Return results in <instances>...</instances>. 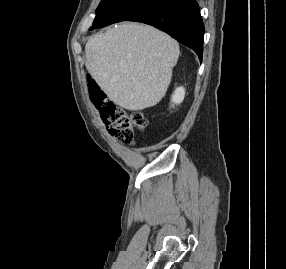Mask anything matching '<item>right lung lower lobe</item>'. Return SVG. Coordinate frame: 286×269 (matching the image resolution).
<instances>
[{
	"instance_id": "right-lung-lower-lobe-1",
	"label": "right lung lower lobe",
	"mask_w": 286,
	"mask_h": 269,
	"mask_svg": "<svg viewBox=\"0 0 286 269\" xmlns=\"http://www.w3.org/2000/svg\"><path fill=\"white\" fill-rule=\"evenodd\" d=\"M127 21L152 25L193 49L202 61L204 24L195 0H158Z\"/></svg>"
}]
</instances>
